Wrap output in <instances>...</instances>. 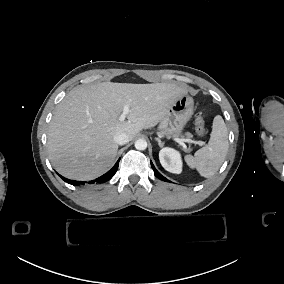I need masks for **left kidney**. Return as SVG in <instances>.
<instances>
[{
  "instance_id": "obj_1",
  "label": "left kidney",
  "mask_w": 284,
  "mask_h": 284,
  "mask_svg": "<svg viewBox=\"0 0 284 284\" xmlns=\"http://www.w3.org/2000/svg\"><path fill=\"white\" fill-rule=\"evenodd\" d=\"M159 159L164 167L169 172L179 173L181 170V162L178 153L169 148H164L159 153Z\"/></svg>"
}]
</instances>
